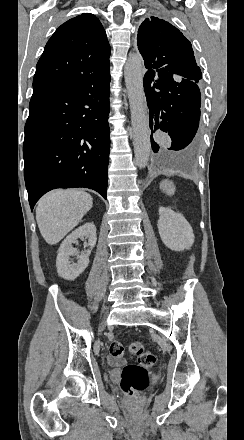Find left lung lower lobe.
<instances>
[{
    "instance_id": "obj_1",
    "label": "left lung lower lobe",
    "mask_w": 244,
    "mask_h": 440,
    "mask_svg": "<svg viewBox=\"0 0 244 440\" xmlns=\"http://www.w3.org/2000/svg\"><path fill=\"white\" fill-rule=\"evenodd\" d=\"M155 75L158 77L157 83H153ZM197 83L177 79L171 73L153 69H148L144 76V91L150 110V128L169 134L172 144L167 151H188L195 145L201 106ZM151 144L153 151L158 153L159 146L152 136Z\"/></svg>"
}]
</instances>
